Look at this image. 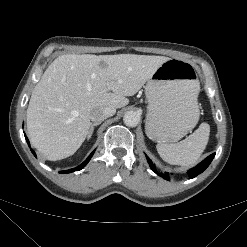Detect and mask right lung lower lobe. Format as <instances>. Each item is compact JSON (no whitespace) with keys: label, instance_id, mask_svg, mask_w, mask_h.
Masks as SVG:
<instances>
[{"label":"right lung lower lobe","instance_id":"right-lung-lower-lobe-1","mask_svg":"<svg viewBox=\"0 0 247 247\" xmlns=\"http://www.w3.org/2000/svg\"><path fill=\"white\" fill-rule=\"evenodd\" d=\"M25 138H26V141H27V143H28V145H29V141H28V139H27L26 136H25ZM31 151H32V153L35 155V152H34L33 150H31ZM94 152H95V150H94V151L89 155V157H88L81 165H79L78 167L73 168V169H69V170H65V171H60L59 173L65 174V173H70V172H74V171H79V170H81V169L89 162V160H90L91 157L93 156Z\"/></svg>","mask_w":247,"mask_h":247}]
</instances>
